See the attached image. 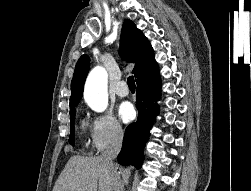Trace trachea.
<instances>
[{
  "label": "trachea",
  "mask_w": 251,
  "mask_h": 191,
  "mask_svg": "<svg viewBox=\"0 0 251 191\" xmlns=\"http://www.w3.org/2000/svg\"><path fill=\"white\" fill-rule=\"evenodd\" d=\"M127 84H128L130 89H135V80H134L133 76H129L127 78Z\"/></svg>",
  "instance_id": "obj_1"
}]
</instances>
